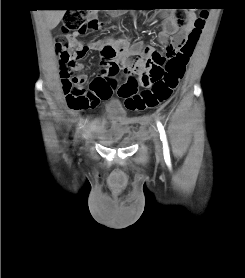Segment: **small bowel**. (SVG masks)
I'll return each instance as SVG.
<instances>
[{
    "label": "small bowel",
    "mask_w": 245,
    "mask_h": 278,
    "mask_svg": "<svg viewBox=\"0 0 245 278\" xmlns=\"http://www.w3.org/2000/svg\"><path fill=\"white\" fill-rule=\"evenodd\" d=\"M160 16L163 18L161 29L157 33L156 39L165 49L166 55L172 56L179 52V45L186 39L187 35L194 28V14L182 15L179 17L170 16L165 10H160ZM100 25L98 29H100ZM83 32H76L66 39L70 42H76L77 37ZM87 48L90 50H101L103 63L105 65V72L93 81L95 85V93L97 95L98 103L108 99L112 95L110 88L109 77L117 74L121 66L124 71L132 72L136 69H145L147 64L152 65L155 62V57L160 54L153 45L137 44L135 49L130 50L128 42L110 41V40H94L91 41ZM120 58V66L117 64V59ZM146 58L147 60H143ZM83 69L81 63L75 61L69 66L71 72H79ZM85 78V76H82ZM63 84L65 82L63 81ZM134 121H141L146 123L147 118L135 119ZM103 120H96L89 126V131L99 137L104 128Z\"/></svg>",
    "instance_id": "small-bowel-1"
}]
</instances>
